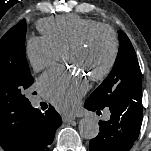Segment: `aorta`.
<instances>
[{
  "label": "aorta",
  "mask_w": 151,
  "mask_h": 151,
  "mask_svg": "<svg viewBox=\"0 0 151 151\" xmlns=\"http://www.w3.org/2000/svg\"><path fill=\"white\" fill-rule=\"evenodd\" d=\"M79 132L84 139H93L99 134V124L95 118L85 117L79 122Z\"/></svg>",
  "instance_id": "obj_1"
}]
</instances>
